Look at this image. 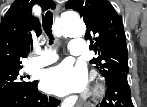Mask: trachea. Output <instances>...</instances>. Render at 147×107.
Returning a JSON list of instances; mask_svg holds the SVG:
<instances>
[{
  "label": "trachea",
  "instance_id": "1",
  "mask_svg": "<svg viewBox=\"0 0 147 107\" xmlns=\"http://www.w3.org/2000/svg\"><path fill=\"white\" fill-rule=\"evenodd\" d=\"M52 25H53V13L51 11H47L45 14V18L43 19V29L47 36L49 37V44L53 43V35H52Z\"/></svg>",
  "mask_w": 147,
  "mask_h": 107
}]
</instances>
